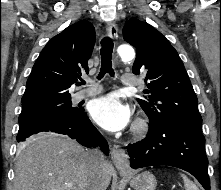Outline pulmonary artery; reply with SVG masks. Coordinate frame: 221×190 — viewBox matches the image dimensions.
<instances>
[{"label":"pulmonary artery","mask_w":221,"mask_h":190,"mask_svg":"<svg viewBox=\"0 0 221 190\" xmlns=\"http://www.w3.org/2000/svg\"><path fill=\"white\" fill-rule=\"evenodd\" d=\"M121 83L126 87H139L141 85V81L136 76L129 73H124L122 75ZM101 90L102 87L100 85L91 83L86 88L76 92L73 95V101L79 102L83 99L95 96L100 93Z\"/></svg>","instance_id":"e3ab8cb5"}]
</instances>
